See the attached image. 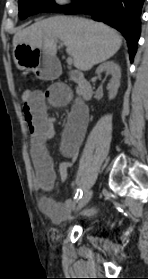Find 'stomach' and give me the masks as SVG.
Masks as SVG:
<instances>
[{
    "label": "stomach",
    "instance_id": "stomach-1",
    "mask_svg": "<svg viewBox=\"0 0 148 279\" xmlns=\"http://www.w3.org/2000/svg\"><path fill=\"white\" fill-rule=\"evenodd\" d=\"M13 59L17 66L23 69V75L41 78V82H54V78L59 74L58 60L39 48L25 44L18 45L15 48Z\"/></svg>",
    "mask_w": 148,
    "mask_h": 279
}]
</instances>
